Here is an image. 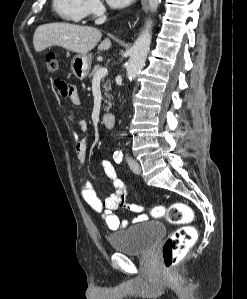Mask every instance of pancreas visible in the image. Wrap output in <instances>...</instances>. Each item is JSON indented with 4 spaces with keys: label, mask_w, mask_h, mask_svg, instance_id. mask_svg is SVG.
<instances>
[{
    "label": "pancreas",
    "mask_w": 247,
    "mask_h": 299,
    "mask_svg": "<svg viewBox=\"0 0 247 299\" xmlns=\"http://www.w3.org/2000/svg\"><path fill=\"white\" fill-rule=\"evenodd\" d=\"M101 69L100 65H95L94 69L91 71V73L89 74V78L94 79V76L96 75V73ZM103 89H104V95L106 98H110V94L109 91L111 90V85L110 82L107 81L104 83L103 85ZM105 103H108V107H105L104 110L105 111H109L111 103L107 100H105Z\"/></svg>",
    "instance_id": "obj_1"
}]
</instances>
